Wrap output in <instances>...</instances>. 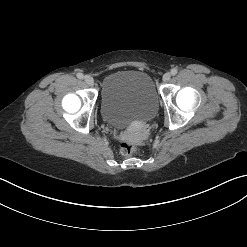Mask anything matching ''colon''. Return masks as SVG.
<instances>
[{
  "mask_svg": "<svg viewBox=\"0 0 247 247\" xmlns=\"http://www.w3.org/2000/svg\"><path fill=\"white\" fill-rule=\"evenodd\" d=\"M137 151H138L137 146L130 144V143H126V142L122 143L119 146V150H118L119 154L124 157L131 156L135 154Z\"/></svg>",
  "mask_w": 247,
  "mask_h": 247,
  "instance_id": "obj_1",
  "label": "colon"
}]
</instances>
